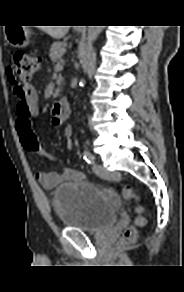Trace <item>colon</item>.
Here are the masks:
<instances>
[{"label":"colon","instance_id":"5ec220e1","mask_svg":"<svg viewBox=\"0 0 184 292\" xmlns=\"http://www.w3.org/2000/svg\"><path fill=\"white\" fill-rule=\"evenodd\" d=\"M40 59L23 52H17L11 58L8 70L10 83L17 96V124L19 126V137L24 149L34 156L47 161H54L55 155L45 149L37 138L32 122L39 115L40 99L37 91L30 82L39 69ZM122 196L135 202V220L123 234V240L131 243L137 238V230L145 224L143 207L140 197L130 186L122 189Z\"/></svg>","mask_w":184,"mask_h":292}]
</instances>
